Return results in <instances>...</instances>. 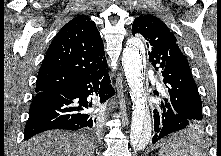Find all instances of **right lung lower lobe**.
I'll list each match as a JSON object with an SVG mask.
<instances>
[{
  "mask_svg": "<svg viewBox=\"0 0 221 156\" xmlns=\"http://www.w3.org/2000/svg\"><path fill=\"white\" fill-rule=\"evenodd\" d=\"M113 94L107 65L58 91L36 93L30 106L24 139L51 129L95 128L97 116L89 110L92 102L88 97L97 95L100 102H105Z\"/></svg>",
  "mask_w": 221,
  "mask_h": 156,
  "instance_id": "obj_1",
  "label": "right lung lower lobe"
}]
</instances>
